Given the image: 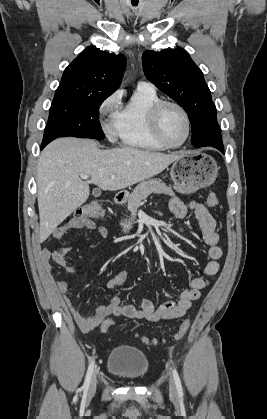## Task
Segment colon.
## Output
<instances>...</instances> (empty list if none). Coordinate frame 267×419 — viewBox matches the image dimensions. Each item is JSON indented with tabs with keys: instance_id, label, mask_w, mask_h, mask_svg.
I'll return each instance as SVG.
<instances>
[{
	"instance_id": "5ec220e1",
	"label": "colon",
	"mask_w": 267,
	"mask_h": 419,
	"mask_svg": "<svg viewBox=\"0 0 267 419\" xmlns=\"http://www.w3.org/2000/svg\"><path fill=\"white\" fill-rule=\"evenodd\" d=\"M207 205L209 207H216L219 203V200L217 198V196L215 194H210L207 197ZM104 215V211L102 209V207L97 204V203H90L87 205H84L82 207H80L74 214V218L81 220V219H98L103 217ZM114 326V322L110 319H107L105 321H103L102 325H101V330L102 332H107L108 330H110L112 327ZM191 326V321L189 319H186L182 322V324L179 326L178 330L176 331V333L174 334L173 338L174 339H180L181 337H183L189 330ZM142 340L144 342H151V343H155L156 340L155 339H149L148 337L143 336Z\"/></svg>"
}]
</instances>
